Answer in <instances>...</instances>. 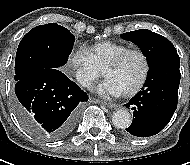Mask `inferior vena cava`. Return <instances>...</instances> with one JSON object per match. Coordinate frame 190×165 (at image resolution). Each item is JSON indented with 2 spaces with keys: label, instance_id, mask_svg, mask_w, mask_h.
Wrapping results in <instances>:
<instances>
[{
  "label": "inferior vena cava",
  "instance_id": "inferior-vena-cava-1",
  "mask_svg": "<svg viewBox=\"0 0 190 165\" xmlns=\"http://www.w3.org/2000/svg\"><path fill=\"white\" fill-rule=\"evenodd\" d=\"M78 81L80 82L82 86H85V87H88L90 84L89 80L83 77H78Z\"/></svg>",
  "mask_w": 190,
  "mask_h": 165
}]
</instances>
